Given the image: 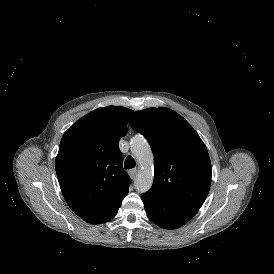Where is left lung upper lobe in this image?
I'll return each instance as SVG.
<instances>
[{"label":"left lung upper lobe","mask_w":274,"mask_h":274,"mask_svg":"<svg viewBox=\"0 0 274 274\" xmlns=\"http://www.w3.org/2000/svg\"><path fill=\"white\" fill-rule=\"evenodd\" d=\"M130 125L143 134L154 153L151 191L178 204L199 209L211 185V162L205 144L176 112L148 108L133 114Z\"/></svg>","instance_id":"5c2ea615"}]
</instances>
